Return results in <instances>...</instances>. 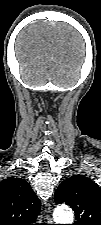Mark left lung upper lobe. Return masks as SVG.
I'll list each match as a JSON object with an SVG mask.
<instances>
[{
    "mask_svg": "<svg viewBox=\"0 0 101 225\" xmlns=\"http://www.w3.org/2000/svg\"><path fill=\"white\" fill-rule=\"evenodd\" d=\"M54 199L72 207L76 216L73 225H101V189L89 178L74 175L64 180Z\"/></svg>",
    "mask_w": 101,
    "mask_h": 225,
    "instance_id": "5c2ea615",
    "label": "left lung upper lobe"
}]
</instances>
